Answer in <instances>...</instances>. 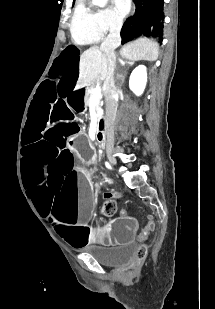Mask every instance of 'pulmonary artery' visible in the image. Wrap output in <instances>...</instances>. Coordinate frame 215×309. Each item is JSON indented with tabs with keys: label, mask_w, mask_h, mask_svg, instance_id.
I'll return each instance as SVG.
<instances>
[{
	"label": "pulmonary artery",
	"mask_w": 215,
	"mask_h": 309,
	"mask_svg": "<svg viewBox=\"0 0 215 309\" xmlns=\"http://www.w3.org/2000/svg\"><path fill=\"white\" fill-rule=\"evenodd\" d=\"M77 6H78V8H87L88 3H87V1H78ZM77 15L78 16H83L84 15V10L83 9H78L77 10Z\"/></svg>",
	"instance_id": "e3ab8cb5"
}]
</instances>
